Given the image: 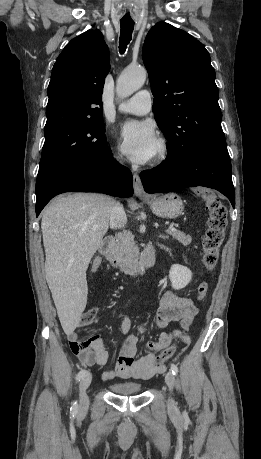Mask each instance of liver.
Masks as SVG:
<instances>
[{"label":"liver","mask_w":261,"mask_h":459,"mask_svg":"<svg viewBox=\"0 0 261 459\" xmlns=\"http://www.w3.org/2000/svg\"><path fill=\"white\" fill-rule=\"evenodd\" d=\"M114 203L106 195L75 193L55 198L43 212L45 277L67 335L86 307V271L108 231Z\"/></svg>","instance_id":"1"}]
</instances>
